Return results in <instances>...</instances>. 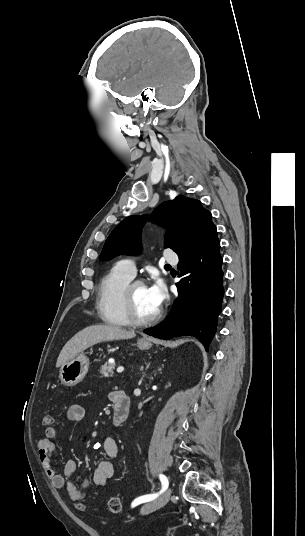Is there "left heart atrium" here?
I'll use <instances>...</instances> for the list:
<instances>
[{
    "label": "left heart atrium",
    "instance_id": "39dd6f15",
    "mask_svg": "<svg viewBox=\"0 0 305 536\" xmlns=\"http://www.w3.org/2000/svg\"><path fill=\"white\" fill-rule=\"evenodd\" d=\"M148 297L152 307L158 309L164 298L163 286L159 280H155L151 285L147 286Z\"/></svg>",
    "mask_w": 305,
    "mask_h": 536
}]
</instances>
